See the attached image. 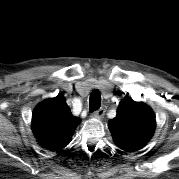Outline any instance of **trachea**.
<instances>
[{
	"instance_id": "obj_1",
	"label": "trachea",
	"mask_w": 179,
	"mask_h": 179,
	"mask_svg": "<svg viewBox=\"0 0 179 179\" xmlns=\"http://www.w3.org/2000/svg\"><path fill=\"white\" fill-rule=\"evenodd\" d=\"M100 106H101L100 92L98 90H94L90 94L89 110H90V112H94V111L98 110L100 108Z\"/></svg>"
}]
</instances>
